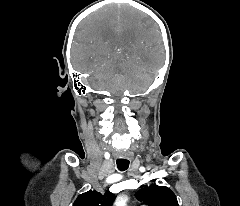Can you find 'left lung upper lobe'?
Listing matches in <instances>:
<instances>
[{
	"mask_svg": "<svg viewBox=\"0 0 240 206\" xmlns=\"http://www.w3.org/2000/svg\"><path fill=\"white\" fill-rule=\"evenodd\" d=\"M136 197L148 206H179L175 194L164 186H146L136 194Z\"/></svg>",
	"mask_w": 240,
	"mask_h": 206,
	"instance_id": "5c2ea615",
	"label": "left lung upper lobe"
}]
</instances>
